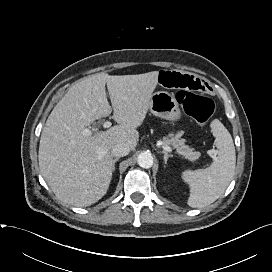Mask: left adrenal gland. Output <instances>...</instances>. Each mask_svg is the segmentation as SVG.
Listing matches in <instances>:
<instances>
[{
	"label": "left adrenal gland",
	"mask_w": 272,
	"mask_h": 272,
	"mask_svg": "<svg viewBox=\"0 0 272 272\" xmlns=\"http://www.w3.org/2000/svg\"><path fill=\"white\" fill-rule=\"evenodd\" d=\"M164 154V163L167 164L168 158L172 157V155L168 154L166 151L162 152Z\"/></svg>",
	"instance_id": "1"
}]
</instances>
